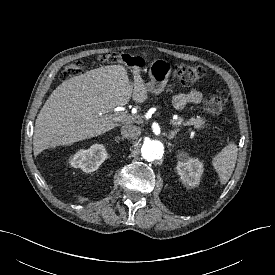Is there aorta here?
I'll return each instance as SVG.
<instances>
[{"label":"aorta","instance_id":"1","mask_svg":"<svg viewBox=\"0 0 275 275\" xmlns=\"http://www.w3.org/2000/svg\"><path fill=\"white\" fill-rule=\"evenodd\" d=\"M163 153L164 144L159 140H147L141 148L142 157L148 162L162 158Z\"/></svg>","mask_w":275,"mask_h":275}]
</instances>
